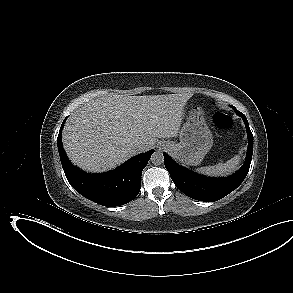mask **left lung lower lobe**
<instances>
[{
  "label": "left lung lower lobe",
  "mask_w": 293,
  "mask_h": 293,
  "mask_svg": "<svg viewBox=\"0 0 293 293\" xmlns=\"http://www.w3.org/2000/svg\"><path fill=\"white\" fill-rule=\"evenodd\" d=\"M236 113L244 120L249 143L245 163L235 174L226 178L205 177L179 166L166 153L163 154L165 167L175 186L188 197L204 202L217 201L235 190L248 174L253 154V135L246 116L238 110Z\"/></svg>",
  "instance_id": "obj_1"
}]
</instances>
